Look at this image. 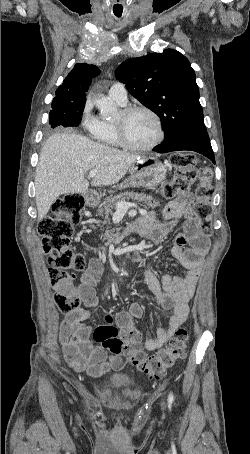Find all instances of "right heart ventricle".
Instances as JSON below:
<instances>
[{
	"instance_id": "right-heart-ventricle-1",
	"label": "right heart ventricle",
	"mask_w": 250,
	"mask_h": 454,
	"mask_svg": "<svg viewBox=\"0 0 250 454\" xmlns=\"http://www.w3.org/2000/svg\"><path fill=\"white\" fill-rule=\"evenodd\" d=\"M118 105L123 106L122 104L115 101ZM97 127L91 133L93 137L100 143L119 146L121 145L116 133L114 120L106 119L103 117H97Z\"/></svg>"
}]
</instances>
